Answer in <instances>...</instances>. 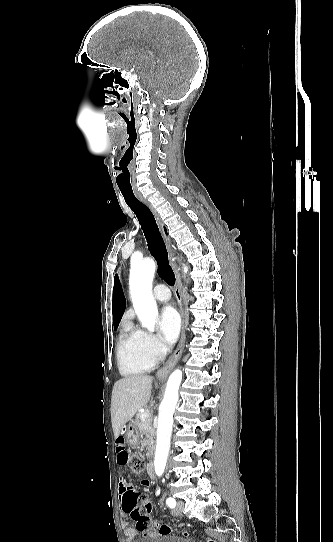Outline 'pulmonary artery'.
I'll return each instance as SVG.
<instances>
[{
  "label": "pulmonary artery",
  "mask_w": 333,
  "mask_h": 542,
  "mask_svg": "<svg viewBox=\"0 0 333 542\" xmlns=\"http://www.w3.org/2000/svg\"><path fill=\"white\" fill-rule=\"evenodd\" d=\"M152 296L155 297V299L159 303H166L168 300L171 299V292L168 291V288L164 284H158L155 286V289L152 291ZM188 298L191 299V296L188 295Z\"/></svg>",
  "instance_id": "1"
}]
</instances>
